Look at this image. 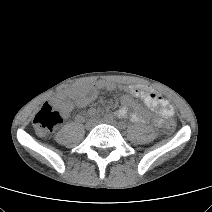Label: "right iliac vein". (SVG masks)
<instances>
[{
  "label": "right iliac vein",
  "instance_id": "right-iliac-vein-1",
  "mask_svg": "<svg viewBox=\"0 0 212 212\" xmlns=\"http://www.w3.org/2000/svg\"><path fill=\"white\" fill-rule=\"evenodd\" d=\"M95 126V122L93 120L87 121L85 127L87 130H91Z\"/></svg>",
  "mask_w": 212,
  "mask_h": 212
}]
</instances>
